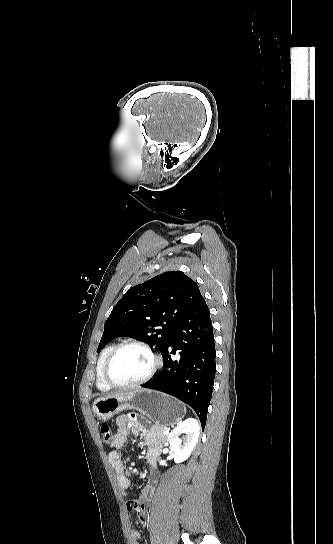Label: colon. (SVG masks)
I'll return each mask as SVG.
<instances>
[{"label": "colon", "instance_id": "obj_1", "mask_svg": "<svg viewBox=\"0 0 333 544\" xmlns=\"http://www.w3.org/2000/svg\"><path fill=\"white\" fill-rule=\"evenodd\" d=\"M102 439L105 443L109 444L112 442V432L108 425L103 424L100 428Z\"/></svg>", "mask_w": 333, "mask_h": 544}]
</instances>
